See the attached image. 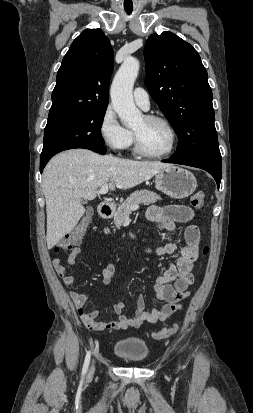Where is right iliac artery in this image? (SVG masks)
I'll use <instances>...</instances> for the list:
<instances>
[{"label": "right iliac artery", "instance_id": "obj_1", "mask_svg": "<svg viewBox=\"0 0 253 413\" xmlns=\"http://www.w3.org/2000/svg\"><path fill=\"white\" fill-rule=\"evenodd\" d=\"M90 356H91V353H90V351H89V352H87V354H86L85 361H84V364H83L82 378H84V376H85V374H86V372H87V370H88L89 363H90Z\"/></svg>", "mask_w": 253, "mask_h": 413}]
</instances>
